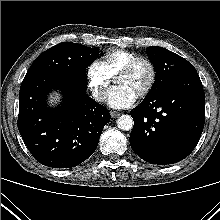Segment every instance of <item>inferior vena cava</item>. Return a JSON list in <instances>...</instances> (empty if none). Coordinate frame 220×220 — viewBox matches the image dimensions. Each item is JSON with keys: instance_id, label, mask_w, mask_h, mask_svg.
I'll list each match as a JSON object with an SVG mask.
<instances>
[{"instance_id": "inferior-vena-cava-1", "label": "inferior vena cava", "mask_w": 220, "mask_h": 220, "mask_svg": "<svg viewBox=\"0 0 220 220\" xmlns=\"http://www.w3.org/2000/svg\"><path fill=\"white\" fill-rule=\"evenodd\" d=\"M104 92H94L93 93V97L95 98V100H97V101H101V100H103L104 99Z\"/></svg>"}]
</instances>
